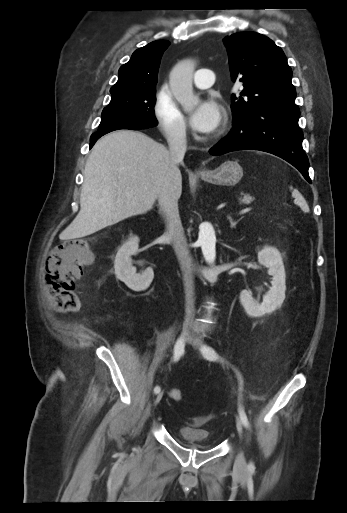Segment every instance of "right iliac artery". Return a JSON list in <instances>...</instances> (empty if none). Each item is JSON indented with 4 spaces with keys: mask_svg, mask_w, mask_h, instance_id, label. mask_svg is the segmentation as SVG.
<instances>
[{
    "mask_svg": "<svg viewBox=\"0 0 347 513\" xmlns=\"http://www.w3.org/2000/svg\"><path fill=\"white\" fill-rule=\"evenodd\" d=\"M184 346H185L184 341H183V339L180 337V338L177 340V342H176V344H175V346H174V354H173V360H174V362H177V361L180 359V357L182 356V354L184 353ZM160 390H161V389H160V387H159V386H156V387L154 388V393H155V394H158V393L160 392Z\"/></svg>",
    "mask_w": 347,
    "mask_h": 513,
    "instance_id": "obj_1",
    "label": "right iliac artery"
}]
</instances>
